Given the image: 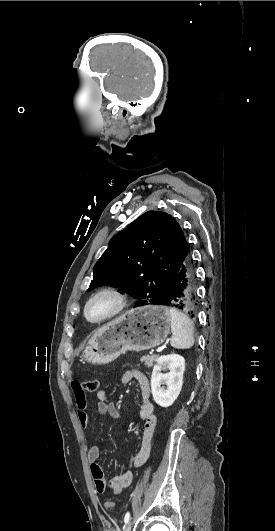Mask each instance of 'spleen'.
I'll use <instances>...</instances> for the list:
<instances>
[{
	"label": "spleen",
	"mask_w": 275,
	"mask_h": 531,
	"mask_svg": "<svg viewBox=\"0 0 275 531\" xmlns=\"http://www.w3.org/2000/svg\"><path fill=\"white\" fill-rule=\"evenodd\" d=\"M171 317V347L174 349H190L194 345V325L193 321L189 319L188 315L177 311V309H169Z\"/></svg>",
	"instance_id": "spleen-1"
}]
</instances>
